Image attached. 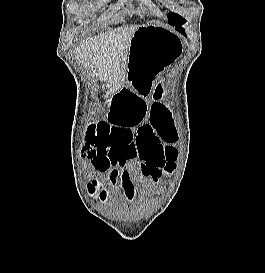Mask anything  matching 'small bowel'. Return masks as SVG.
I'll use <instances>...</instances> for the list:
<instances>
[{"label": "small bowel", "instance_id": "obj_1", "mask_svg": "<svg viewBox=\"0 0 265 273\" xmlns=\"http://www.w3.org/2000/svg\"><path fill=\"white\" fill-rule=\"evenodd\" d=\"M145 109L141 95L121 92L110 101L107 121L87 124V129H104V139L108 143L104 150L89 152L88 159L99 174L106 175L110 187L122 190L129 201L135 199V191L129 172L122 168H138L144 177L158 182L166 164L165 147H173L172 142L159 139L160 133L149 123H142L147 114ZM136 124H140L137 131L132 129ZM94 137L97 143H101L100 135ZM107 197V191L100 193L102 201Z\"/></svg>", "mask_w": 265, "mask_h": 273}]
</instances>
